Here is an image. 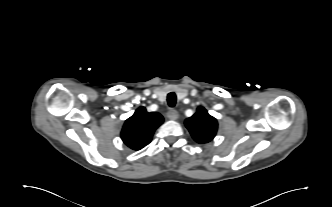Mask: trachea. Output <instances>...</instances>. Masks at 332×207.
Instances as JSON below:
<instances>
[{
    "mask_svg": "<svg viewBox=\"0 0 332 207\" xmlns=\"http://www.w3.org/2000/svg\"><path fill=\"white\" fill-rule=\"evenodd\" d=\"M167 103L170 107H174L176 104V95L175 93L171 92L167 96Z\"/></svg>",
    "mask_w": 332,
    "mask_h": 207,
    "instance_id": "obj_1",
    "label": "trachea"
}]
</instances>
